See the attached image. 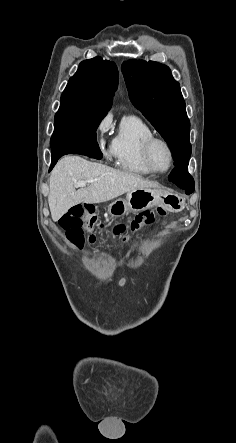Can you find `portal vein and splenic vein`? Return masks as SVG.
<instances>
[{
	"label": "portal vein and splenic vein",
	"mask_w": 236,
	"mask_h": 443,
	"mask_svg": "<svg viewBox=\"0 0 236 443\" xmlns=\"http://www.w3.org/2000/svg\"><path fill=\"white\" fill-rule=\"evenodd\" d=\"M87 185V181H78L75 183V187L79 188V187H85Z\"/></svg>",
	"instance_id": "portal-vein-and-splenic-vein-1"
}]
</instances>
